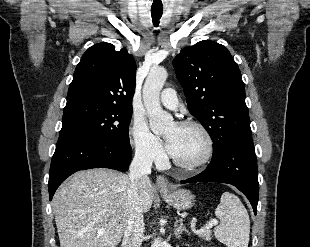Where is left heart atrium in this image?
Here are the masks:
<instances>
[{
  "instance_id": "1",
  "label": "left heart atrium",
  "mask_w": 310,
  "mask_h": 247,
  "mask_svg": "<svg viewBox=\"0 0 310 247\" xmlns=\"http://www.w3.org/2000/svg\"><path fill=\"white\" fill-rule=\"evenodd\" d=\"M166 149H167V151L172 155L173 150H174V146H173V142H172L171 140H168V139H167V142H166Z\"/></svg>"
}]
</instances>
